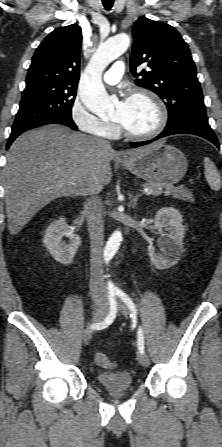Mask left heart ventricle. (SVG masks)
<instances>
[{
  "label": "left heart ventricle",
  "mask_w": 222,
  "mask_h": 447,
  "mask_svg": "<svg viewBox=\"0 0 222 447\" xmlns=\"http://www.w3.org/2000/svg\"><path fill=\"white\" fill-rule=\"evenodd\" d=\"M114 118L127 130L141 134L153 130L158 123V112L153 103L145 97L126 100L116 107Z\"/></svg>",
  "instance_id": "b2bd125f"
}]
</instances>
